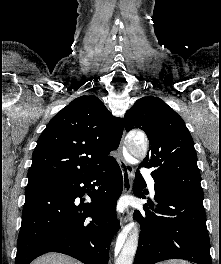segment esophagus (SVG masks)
<instances>
[{"mask_svg":"<svg viewBox=\"0 0 221 264\" xmlns=\"http://www.w3.org/2000/svg\"><path fill=\"white\" fill-rule=\"evenodd\" d=\"M124 150V133L118 148L117 162L120 166L123 176V191L125 194L131 193L132 190V168L127 164L123 157ZM131 220V211L127 209L125 213L120 217V225L123 226L125 223Z\"/></svg>","mask_w":221,"mask_h":264,"instance_id":"obj_1","label":"esophagus"}]
</instances>
